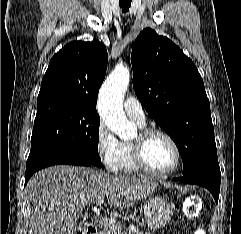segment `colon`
I'll use <instances>...</instances> for the list:
<instances>
[{
	"label": "colon",
	"instance_id": "obj_1",
	"mask_svg": "<svg viewBox=\"0 0 241 234\" xmlns=\"http://www.w3.org/2000/svg\"><path fill=\"white\" fill-rule=\"evenodd\" d=\"M185 216L190 220H196L201 211V200L197 195L189 197L183 206ZM194 234H201V232L196 231Z\"/></svg>",
	"mask_w": 241,
	"mask_h": 234
}]
</instances>
